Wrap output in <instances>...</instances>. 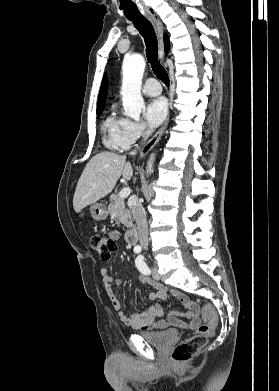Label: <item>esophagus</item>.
Listing matches in <instances>:
<instances>
[{"mask_svg":"<svg viewBox=\"0 0 279 391\" xmlns=\"http://www.w3.org/2000/svg\"><path fill=\"white\" fill-rule=\"evenodd\" d=\"M149 19L154 25L155 31L158 36V43H159V56L160 59H164V44H163V32L164 27L162 25V22L158 15L155 12H152L149 16ZM169 123V117L165 120L161 128L156 132V134L144 145V147L140 151V157L145 156L154 146L155 144L160 140L161 136L163 135L165 129L167 128Z\"/></svg>","mask_w":279,"mask_h":391,"instance_id":"1","label":"esophagus"}]
</instances>
